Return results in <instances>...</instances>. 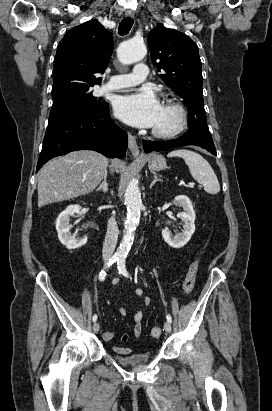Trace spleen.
Instances as JSON below:
<instances>
[{"mask_svg":"<svg viewBox=\"0 0 272 411\" xmlns=\"http://www.w3.org/2000/svg\"><path fill=\"white\" fill-rule=\"evenodd\" d=\"M167 156L183 158L192 177L203 185L208 194H217L220 191V185L214 170L200 154L191 150L178 149L169 152Z\"/></svg>","mask_w":272,"mask_h":411,"instance_id":"1","label":"spleen"}]
</instances>
